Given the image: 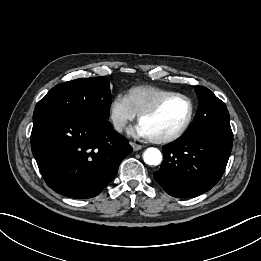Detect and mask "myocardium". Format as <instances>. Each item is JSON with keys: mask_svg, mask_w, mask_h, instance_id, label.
<instances>
[{"mask_svg": "<svg viewBox=\"0 0 261 261\" xmlns=\"http://www.w3.org/2000/svg\"><path fill=\"white\" fill-rule=\"evenodd\" d=\"M171 98H181V99L185 100L188 103L189 112H188L187 118L184 121V123L180 126L179 129H177L175 132H173V133H171L169 135L162 136V137H151V136H149L148 138L153 143L165 144V143H170V142H173V141L177 140L178 138H180L188 130L189 126L192 123V120H193V117H194V110H195L193 101L188 96H186L184 94H181V93H169V94L161 97L159 100H157L151 106H149L146 109L142 110L138 114V121L141 122L142 118L156 113L162 107V105L167 100H169Z\"/></svg>", "mask_w": 261, "mask_h": 261, "instance_id": "obj_1", "label": "myocardium"}]
</instances>
